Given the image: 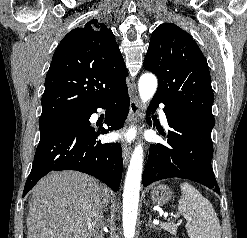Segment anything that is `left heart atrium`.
Wrapping results in <instances>:
<instances>
[{"label": "left heart atrium", "mask_w": 247, "mask_h": 238, "mask_svg": "<svg viewBox=\"0 0 247 238\" xmlns=\"http://www.w3.org/2000/svg\"><path fill=\"white\" fill-rule=\"evenodd\" d=\"M114 137L116 139H120V138L128 139V138H131V134L127 132V133H122V134H116Z\"/></svg>", "instance_id": "obj_1"}]
</instances>
